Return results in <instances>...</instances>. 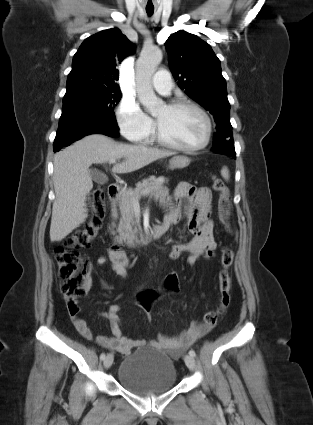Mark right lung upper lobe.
<instances>
[{"label":"right lung upper lobe","instance_id":"obj_1","mask_svg":"<svg viewBox=\"0 0 313 425\" xmlns=\"http://www.w3.org/2000/svg\"><path fill=\"white\" fill-rule=\"evenodd\" d=\"M135 46L117 28L96 33L75 53L66 93L81 90H118L116 67L133 54Z\"/></svg>","mask_w":313,"mask_h":425}]
</instances>
